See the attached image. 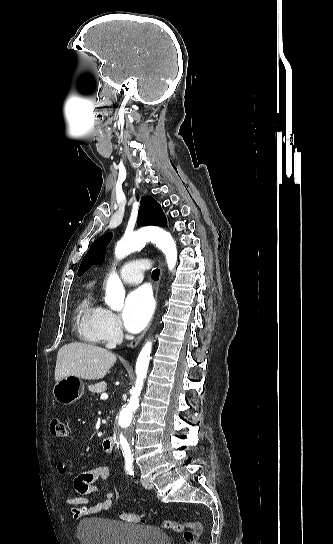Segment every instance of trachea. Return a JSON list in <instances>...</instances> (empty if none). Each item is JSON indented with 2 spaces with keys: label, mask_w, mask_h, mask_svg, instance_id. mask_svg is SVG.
<instances>
[{
  "label": "trachea",
  "mask_w": 333,
  "mask_h": 544,
  "mask_svg": "<svg viewBox=\"0 0 333 544\" xmlns=\"http://www.w3.org/2000/svg\"><path fill=\"white\" fill-rule=\"evenodd\" d=\"M159 269H155L153 272H152V277L154 280H158L159 279Z\"/></svg>",
  "instance_id": "3493384b"
}]
</instances>
